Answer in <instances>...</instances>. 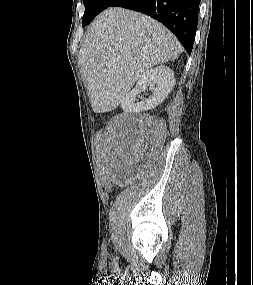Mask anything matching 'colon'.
<instances>
[{
  "label": "colon",
  "instance_id": "5ec220e1",
  "mask_svg": "<svg viewBox=\"0 0 253 285\" xmlns=\"http://www.w3.org/2000/svg\"><path fill=\"white\" fill-rule=\"evenodd\" d=\"M96 136L95 144L98 145V150L95 151V154L98 167H95V172H100L101 180H104L106 186H109L111 180L114 179V176L110 175V171H108L109 158L107 157L110 153V144L107 143L104 132H101L100 129L96 130Z\"/></svg>",
  "mask_w": 253,
  "mask_h": 285
}]
</instances>
